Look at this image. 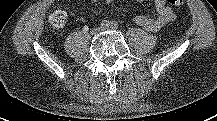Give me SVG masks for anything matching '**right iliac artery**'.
Here are the masks:
<instances>
[{
  "mask_svg": "<svg viewBox=\"0 0 217 121\" xmlns=\"http://www.w3.org/2000/svg\"><path fill=\"white\" fill-rule=\"evenodd\" d=\"M109 22L108 21H106V20H104L102 23H101V26L103 27V28H107V27H109Z\"/></svg>",
  "mask_w": 217,
  "mask_h": 121,
  "instance_id": "82829eb1",
  "label": "right iliac artery"
}]
</instances>
